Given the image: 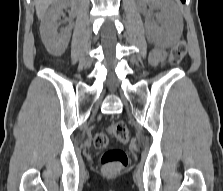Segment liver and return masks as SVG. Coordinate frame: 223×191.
Masks as SVG:
<instances>
[{
	"label": "liver",
	"mask_w": 223,
	"mask_h": 191,
	"mask_svg": "<svg viewBox=\"0 0 223 191\" xmlns=\"http://www.w3.org/2000/svg\"><path fill=\"white\" fill-rule=\"evenodd\" d=\"M54 1L55 0H35L36 14L39 19H44L48 7L54 3Z\"/></svg>",
	"instance_id": "liver-1"
}]
</instances>
